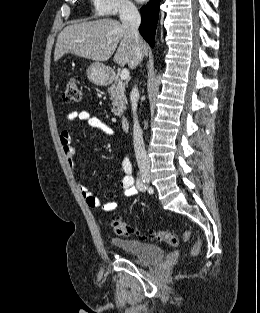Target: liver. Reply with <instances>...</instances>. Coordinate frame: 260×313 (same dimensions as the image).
I'll return each mask as SVG.
<instances>
[{
	"label": "liver",
	"instance_id": "obj_1",
	"mask_svg": "<svg viewBox=\"0 0 260 313\" xmlns=\"http://www.w3.org/2000/svg\"><path fill=\"white\" fill-rule=\"evenodd\" d=\"M140 48L142 53L147 49L141 40ZM115 51V63L121 66L128 64L130 69L137 66L135 42L130 29L116 20L99 19L65 27L57 38L54 60L72 53L97 62L107 61Z\"/></svg>",
	"mask_w": 260,
	"mask_h": 313
}]
</instances>
